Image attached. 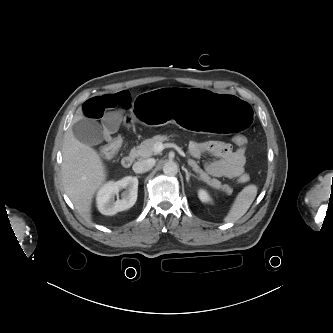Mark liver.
<instances>
[{"instance_id": "liver-1", "label": "liver", "mask_w": 333, "mask_h": 333, "mask_svg": "<svg viewBox=\"0 0 333 333\" xmlns=\"http://www.w3.org/2000/svg\"><path fill=\"white\" fill-rule=\"evenodd\" d=\"M82 119L74 116L73 122ZM62 183L78 212L91 220V205L95 192L106 179L104 164L96 150L75 138L69 128L62 147Z\"/></svg>"}]
</instances>
